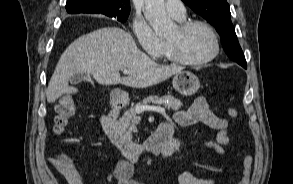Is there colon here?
I'll return each instance as SVG.
<instances>
[{"label": "colon", "instance_id": "colon-1", "mask_svg": "<svg viewBox=\"0 0 293 184\" xmlns=\"http://www.w3.org/2000/svg\"><path fill=\"white\" fill-rule=\"evenodd\" d=\"M55 112V131L57 133H61L75 114V105L73 99L70 96H64L57 104ZM227 113L231 118L238 117V111L233 107H229L227 109ZM57 161L60 160L58 159ZM252 164V157L245 156L243 159L242 175L236 184H249Z\"/></svg>", "mask_w": 293, "mask_h": 184}]
</instances>
